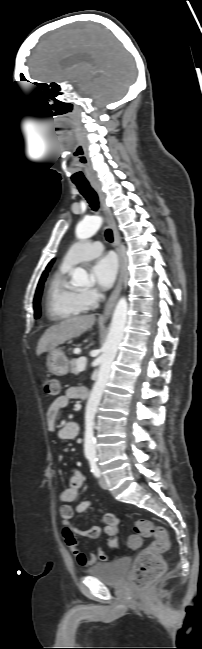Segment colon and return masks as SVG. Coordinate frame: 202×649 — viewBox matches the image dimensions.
I'll list each match as a JSON object with an SVG mask.
<instances>
[{
  "instance_id": "5ec220e1",
  "label": "colon",
  "mask_w": 202,
  "mask_h": 649,
  "mask_svg": "<svg viewBox=\"0 0 202 649\" xmlns=\"http://www.w3.org/2000/svg\"><path fill=\"white\" fill-rule=\"evenodd\" d=\"M46 395L57 396L60 393V382L55 378L47 377L42 382ZM135 534L131 536V544L135 545L140 537H152L150 546L143 549L135 558L132 579L135 587L143 591L163 572L164 561L162 554L169 547L167 530L150 520L141 519L134 525Z\"/></svg>"
}]
</instances>
